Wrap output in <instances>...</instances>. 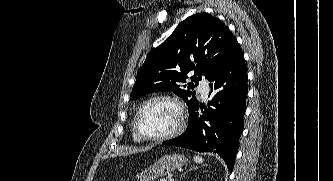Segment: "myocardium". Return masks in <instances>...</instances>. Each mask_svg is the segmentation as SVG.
Returning a JSON list of instances; mask_svg holds the SVG:
<instances>
[{
	"mask_svg": "<svg viewBox=\"0 0 333 181\" xmlns=\"http://www.w3.org/2000/svg\"><path fill=\"white\" fill-rule=\"evenodd\" d=\"M157 100H167V101L174 103L178 108L179 121H178L177 126L169 133H166V134L160 135V136H147L139 128V123H138L139 117H140L143 109L148 104H150L154 101H157ZM185 123H186V109H185V106L183 105V103L181 102V100L178 97L173 96V95L158 94V95H154V96L146 99L144 102L141 103V105L138 107V109L135 113V116L133 118L132 128H133V131L135 132V134L142 140L152 141V142H162V141H167V140H170V139L178 136L184 130Z\"/></svg>",
	"mask_w": 333,
	"mask_h": 181,
	"instance_id": "1",
	"label": "myocardium"
}]
</instances>
